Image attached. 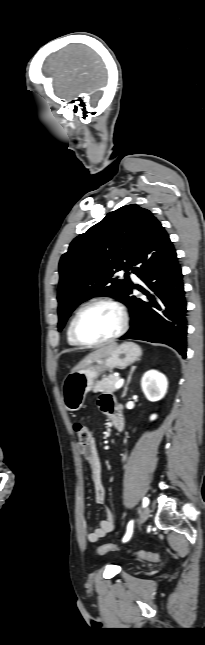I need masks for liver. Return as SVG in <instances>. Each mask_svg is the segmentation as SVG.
Segmentation results:
<instances>
[{"label":"liver","mask_w":205,"mask_h":645,"mask_svg":"<svg viewBox=\"0 0 205 645\" xmlns=\"http://www.w3.org/2000/svg\"><path fill=\"white\" fill-rule=\"evenodd\" d=\"M117 347L116 343L109 344L107 346H103L96 351L90 353L88 356H86L81 362H79L78 365H76L71 372L78 371L80 369H83L94 362L98 361L99 359L104 358L108 354H110L115 348Z\"/></svg>","instance_id":"liver-1"}]
</instances>
